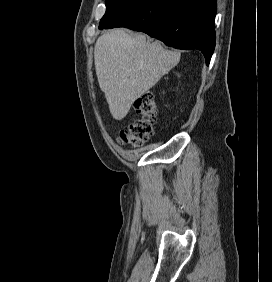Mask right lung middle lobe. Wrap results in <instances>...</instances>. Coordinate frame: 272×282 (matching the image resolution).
<instances>
[{"label": "right lung middle lobe", "instance_id": "obj_1", "mask_svg": "<svg viewBox=\"0 0 272 282\" xmlns=\"http://www.w3.org/2000/svg\"><path fill=\"white\" fill-rule=\"evenodd\" d=\"M136 0H106V12L102 17L99 29H102L109 22L130 7Z\"/></svg>", "mask_w": 272, "mask_h": 282}]
</instances>
